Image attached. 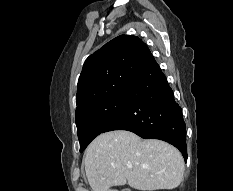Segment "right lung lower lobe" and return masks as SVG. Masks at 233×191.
<instances>
[{"mask_svg": "<svg viewBox=\"0 0 233 191\" xmlns=\"http://www.w3.org/2000/svg\"><path fill=\"white\" fill-rule=\"evenodd\" d=\"M125 109L102 131L127 130L147 139L166 141L187 160L186 125L167 79L154 57L128 91Z\"/></svg>", "mask_w": 233, "mask_h": 191, "instance_id": "obj_1", "label": "right lung lower lobe"}]
</instances>
